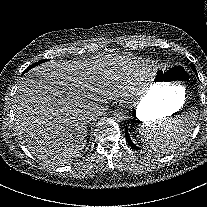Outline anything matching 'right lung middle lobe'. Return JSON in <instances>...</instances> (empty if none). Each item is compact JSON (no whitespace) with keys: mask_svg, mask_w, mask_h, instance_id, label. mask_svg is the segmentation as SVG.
Returning a JSON list of instances; mask_svg holds the SVG:
<instances>
[{"mask_svg":"<svg viewBox=\"0 0 207 207\" xmlns=\"http://www.w3.org/2000/svg\"><path fill=\"white\" fill-rule=\"evenodd\" d=\"M45 61H47V60H43V61H39V62H37V63H34V64L31 65L29 68H27V69L25 70V72H27L28 70L32 69L33 67H35V66H37V65H39V64H41V63H43V62H45ZM25 72H24V73H25Z\"/></svg>","mask_w":207,"mask_h":207,"instance_id":"1","label":"right lung middle lobe"}]
</instances>
